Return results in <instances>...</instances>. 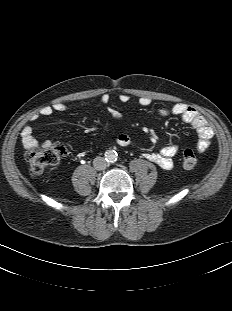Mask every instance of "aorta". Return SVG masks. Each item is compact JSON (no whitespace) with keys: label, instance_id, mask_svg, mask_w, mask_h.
<instances>
[{"label":"aorta","instance_id":"1","mask_svg":"<svg viewBox=\"0 0 232 311\" xmlns=\"http://www.w3.org/2000/svg\"><path fill=\"white\" fill-rule=\"evenodd\" d=\"M105 159H106V161L109 162V163H114V162H116L117 159H118V154H117V152L114 151V150H108V151H106V153H105Z\"/></svg>","mask_w":232,"mask_h":311}]
</instances>
